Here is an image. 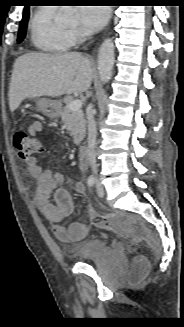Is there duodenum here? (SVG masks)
I'll list each match as a JSON object with an SVG mask.
<instances>
[{
	"instance_id": "1",
	"label": "duodenum",
	"mask_w": 184,
	"mask_h": 327,
	"mask_svg": "<svg viewBox=\"0 0 184 327\" xmlns=\"http://www.w3.org/2000/svg\"><path fill=\"white\" fill-rule=\"evenodd\" d=\"M78 157L80 165L85 168L88 165V148L85 145L79 147Z\"/></svg>"
}]
</instances>
